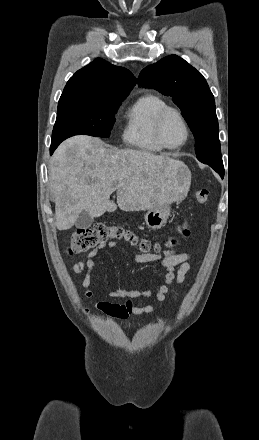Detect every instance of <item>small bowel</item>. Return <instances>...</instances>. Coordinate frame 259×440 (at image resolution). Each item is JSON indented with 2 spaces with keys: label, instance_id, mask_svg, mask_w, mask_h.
<instances>
[{
  "label": "small bowel",
  "instance_id": "small-bowel-1",
  "mask_svg": "<svg viewBox=\"0 0 259 440\" xmlns=\"http://www.w3.org/2000/svg\"><path fill=\"white\" fill-rule=\"evenodd\" d=\"M117 243L111 241L107 244L96 247L91 251L85 260L74 263L71 267L76 274H84L82 287L84 295L88 299H92L93 291L91 290V277L95 267V259L99 252L104 248H114ZM135 260L138 263H156L164 272L163 284L154 292L153 289L137 290L132 288L114 287L106 295L111 298H127L124 304H114L110 302H94L91 304L102 313L117 319H127L129 316H139L145 313H152L154 307L152 305L135 306L131 299L135 298H155L162 302L165 300L169 286L173 283L182 284L186 280L191 270V255L181 249L164 250L160 253H141L136 255ZM176 267H178L176 269Z\"/></svg>",
  "mask_w": 259,
  "mask_h": 440
}]
</instances>
